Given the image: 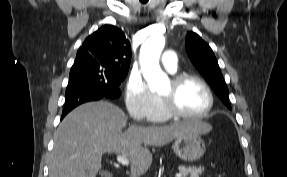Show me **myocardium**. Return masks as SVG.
<instances>
[{"instance_id": "f54148a6", "label": "myocardium", "mask_w": 287, "mask_h": 177, "mask_svg": "<svg viewBox=\"0 0 287 177\" xmlns=\"http://www.w3.org/2000/svg\"><path fill=\"white\" fill-rule=\"evenodd\" d=\"M189 81H195L199 83L207 93L208 105L206 109L200 114H188L180 111L176 106L175 97L177 92L185 83ZM171 86L172 90L170 93L165 95L160 94L164 110L169 115V117L179 119H201L206 117L212 111L215 102L214 94L209 84L203 78L194 74L182 73L174 76L171 79Z\"/></svg>"}]
</instances>
